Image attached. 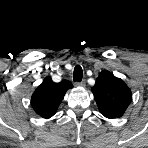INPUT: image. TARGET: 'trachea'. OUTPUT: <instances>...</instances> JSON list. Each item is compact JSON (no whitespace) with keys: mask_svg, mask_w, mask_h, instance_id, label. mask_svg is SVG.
<instances>
[{"mask_svg":"<svg viewBox=\"0 0 148 148\" xmlns=\"http://www.w3.org/2000/svg\"><path fill=\"white\" fill-rule=\"evenodd\" d=\"M83 78V70L80 65H76L73 72V80L76 82H81Z\"/></svg>","mask_w":148,"mask_h":148,"instance_id":"3493384b","label":"trachea"}]
</instances>
